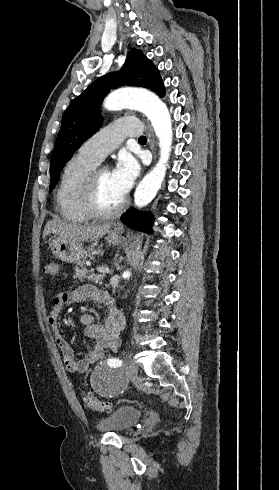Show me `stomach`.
<instances>
[{
  "mask_svg": "<svg viewBox=\"0 0 279 490\" xmlns=\"http://www.w3.org/2000/svg\"><path fill=\"white\" fill-rule=\"evenodd\" d=\"M113 226H117V224H113ZM108 236L106 240H108L109 246H117L120 240L119 232H115V230H110L107 232ZM49 248L58 260H62V262H67V264H76V262H81V260H85L88 254L83 250L82 244L79 242H72V240H63V238H54V240H50ZM90 256L92 254H97L95 250H90Z\"/></svg>",
  "mask_w": 279,
  "mask_h": 490,
  "instance_id": "1",
  "label": "stomach"
}]
</instances>
